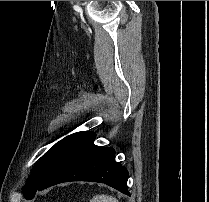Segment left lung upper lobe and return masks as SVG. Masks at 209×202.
Returning a JSON list of instances; mask_svg holds the SVG:
<instances>
[{"label":"left lung upper lobe","instance_id":"5c2ea615","mask_svg":"<svg viewBox=\"0 0 209 202\" xmlns=\"http://www.w3.org/2000/svg\"><path fill=\"white\" fill-rule=\"evenodd\" d=\"M68 138L69 136L59 141L44 154L42 160L39 162L33 173L28 177L26 184L23 187V195L25 198L30 197L37 190L46 177L59 149Z\"/></svg>","mask_w":209,"mask_h":202}]
</instances>
